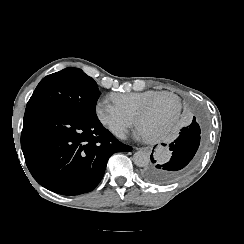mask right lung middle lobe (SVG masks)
I'll return each instance as SVG.
<instances>
[{
    "mask_svg": "<svg viewBox=\"0 0 244 244\" xmlns=\"http://www.w3.org/2000/svg\"><path fill=\"white\" fill-rule=\"evenodd\" d=\"M97 83L81 69L68 67L43 78L27 106H52L88 118H97Z\"/></svg>",
    "mask_w": 244,
    "mask_h": 244,
    "instance_id": "obj_1",
    "label": "right lung middle lobe"
}]
</instances>
